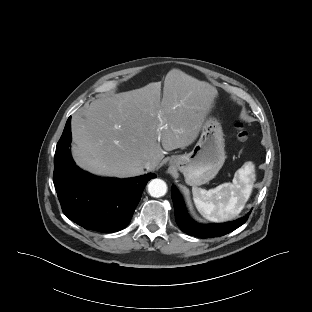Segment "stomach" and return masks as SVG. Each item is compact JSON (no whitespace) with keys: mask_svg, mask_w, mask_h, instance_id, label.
I'll list each match as a JSON object with an SVG mask.
<instances>
[{"mask_svg":"<svg viewBox=\"0 0 312 312\" xmlns=\"http://www.w3.org/2000/svg\"><path fill=\"white\" fill-rule=\"evenodd\" d=\"M225 143L220 122L209 117L201 135L189 153L172 156L170 167L180 171L190 186H200L212 180L225 162Z\"/></svg>","mask_w":312,"mask_h":312,"instance_id":"1","label":"stomach"}]
</instances>
